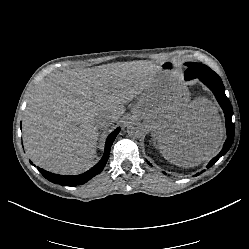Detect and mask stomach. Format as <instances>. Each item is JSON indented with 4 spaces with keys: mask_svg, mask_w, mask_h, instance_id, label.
Masks as SVG:
<instances>
[{
    "mask_svg": "<svg viewBox=\"0 0 249 249\" xmlns=\"http://www.w3.org/2000/svg\"><path fill=\"white\" fill-rule=\"evenodd\" d=\"M162 72L149 83L142 95L139 111L144 124L155 131L169 128L176 120L185 117L191 100L171 62L163 63Z\"/></svg>",
    "mask_w": 249,
    "mask_h": 249,
    "instance_id": "obj_1",
    "label": "stomach"
}]
</instances>
